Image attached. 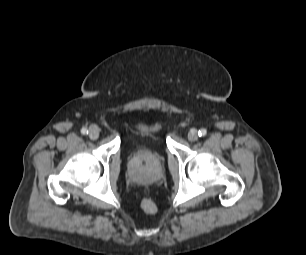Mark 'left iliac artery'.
I'll return each instance as SVG.
<instances>
[{"label":"left iliac artery","instance_id":"1","mask_svg":"<svg viewBox=\"0 0 306 255\" xmlns=\"http://www.w3.org/2000/svg\"><path fill=\"white\" fill-rule=\"evenodd\" d=\"M206 134H207V130L204 129V128L200 129L199 132H198V135L200 137H204Z\"/></svg>","mask_w":306,"mask_h":255}]
</instances>
